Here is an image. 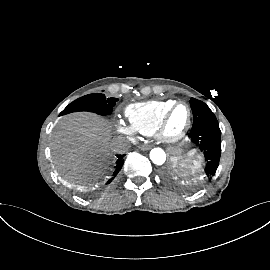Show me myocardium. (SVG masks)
<instances>
[{"label":"myocardium","instance_id":"myocardium-1","mask_svg":"<svg viewBox=\"0 0 270 270\" xmlns=\"http://www.w3.org/2000/svg\"><path fill=\"white\" fill-rule=\"evenodd\" d=\"M178 106H185L188 111V119L185 127L182 129L181 132H179L176 135H169L166 131L167 122L171 115V113L174 111V109ZM192 126V110L188 103L184 101H177L174 104H172L161 116L157 128H156V137L158 140L165 144H175L180 142L182 139L185 138V136L188 134L190 128Z\"/></svg>","mask_w":270,"mask_h":270}]
</instances>
